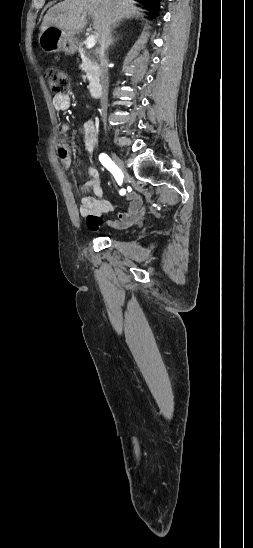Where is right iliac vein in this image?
<instances>
[{
    "label": "right iliac vein",
    "instance_id": "63e3f726",
    "mask_svg": "<svg viewBox=\"0 0 253 548\" xmlns=\"http://www.w3.org/2000/svg\"><path fill=\"white\" fill-rule=\"evenodd\" d=\"M111 156H112V159H113L114 163L116 164V166L121 170V172L123 174V177H124V181H127L128 173L126 172L122 161L119 159V157L114 152H111Z\"/></svg>",
    "mask_w": 253,
    "mask_h": 548
}]
</instances>
